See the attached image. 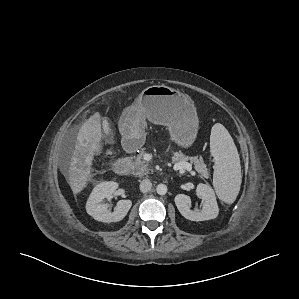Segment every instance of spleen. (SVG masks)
I'll list each match as a JSON object with an SVG mask.
<instances>
[{
  "label": "spleen",
  "mask_w": 299,
  "mask_h": 299,
  "mask_svg": "<svg viewBox=\"0 0 299 299\" xmlns=\"http://www.w3.org/2000/svg\"><path fill=\"white\" fill-rule=\"evenodd\" d=\"M210 151L215 161L213 185L218 198L233 203L242 182L240 158L228 130L220 123L213 125Z\"/></svg>",
  "instance_id": "obj_1"
}]
</instances>
